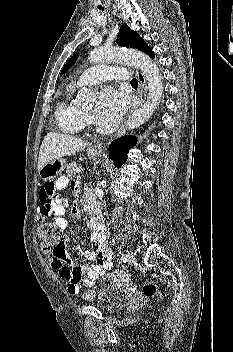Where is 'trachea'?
<instances>
[{
	"label": "trachea",
	"instance_id": "trachea-1",
	"mask_svg": "<svg viewBox=\"0 0 233 352\" xmlns=\"http://www.w3.org/2000/svg\"><path fill=\"white\" fill-rule=\"evenodd\" d=\"M99 9L102 10V11L104 10L103 8H99ZM131 84H132V85H138L137 79H135V78L132 79V80H131Z\"/></svg>",
	"mask_w": 233,
	"mask_h": 352
}]
</instances>
